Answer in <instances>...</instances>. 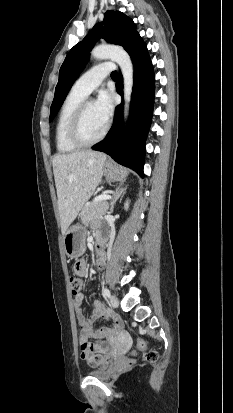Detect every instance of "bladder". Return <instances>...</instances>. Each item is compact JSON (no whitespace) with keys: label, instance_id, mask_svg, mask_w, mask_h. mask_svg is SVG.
<instances>
[{"label":"bladder","instance_id":"bladder-1","mask_svg":"<svg viewBox=\"0 0 233 413\" xmlns=\"http://www.w3.org/2000/svg\"><path fill=\"white\" fill-rule=\"evenodd\" d=\"M114 372H115V368L113 367V365L108 364L104 367L90 371L88 375L94 378L107 380L113 376Z\"/></svg>","mask_w":233,"mask_h":413}]
</instances>
